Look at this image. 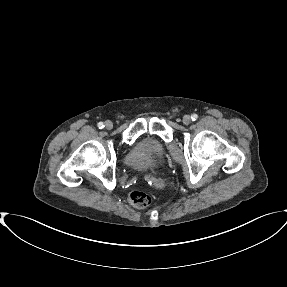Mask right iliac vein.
Listing matches in <instances>:
<instances>
[{"label": "right iliac vein", "instance_id": "obj_1", "mask_svg": "<svg viewBox=\"0 0 287 287\" xmlns=\"http://www.w3.org/2000/svg\"><path fill=\"white\" fill-rule=\"evenodd\" d=\"M112 127H113V123H112L111 121H106V122H105V128H106L107 130L112 129Z\"/></svg>", "mask_w": 287, "mask_h": 287}]
</instances>
